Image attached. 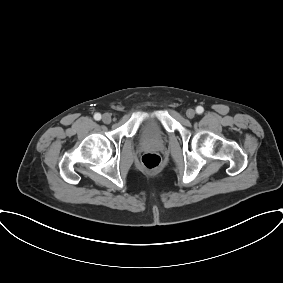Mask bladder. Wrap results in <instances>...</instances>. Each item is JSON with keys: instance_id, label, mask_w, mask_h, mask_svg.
Listing matches in <instances>:
<instances>
[{"instance_id": "31cf9c89", "label": "bladder", "mask_w": 283, "mask_h": 283, "mask_svg": "<svg viewBox=\"0 0 283 283\" xmlns=\"http://www.w3.org/2000/svg\"><path fill=\"white\" fill-rule=\"evenodd\" d=\"M139 134L146 142L161 141L165 136V130L160 118L154 115L146 116L140 125Z\"/></svg>"}]
</instances>
